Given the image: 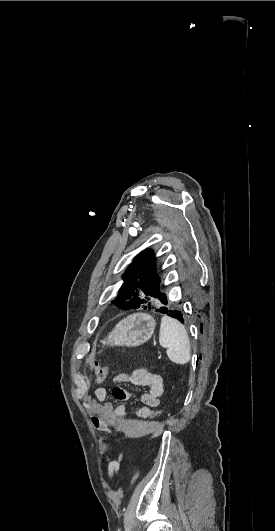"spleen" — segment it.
Returning <instances> with one entry per match:
<instances>
[{
	"label": "spleen",
	"mask_w": 275,
	"mask_h": 531,
	"mask_svg": "<svg viewBox=\"0 0 275 531\" xmlns=\"http://www.w3.org/2000/svg\"><path fill=\"white\" fill-rule=\"evenodd\" d=\"M159 343L166 349L172 363L186 365L190 359V341L187 331L177 319L164 315L161 319Z\"/></svg>",
	"instance_id": "1"
}]
</instances>
